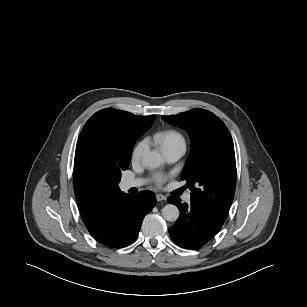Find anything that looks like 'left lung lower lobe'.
<instances>
[{"label":"left lung lower lobe","mask_w":307,"mask_h":307,"mask_svg":"<svg viewBox=\"0 0 307 307\" xmlns=\"http://www.w3.org/2000/svg\"><path fill=\"white\" fill-rule=\"evenodd\" d=\"M167 201L180 209L178 220L169 228L171 239L180 247L195 249L203 246L224 223L193 201L181 203L176 196H170Z\"/></svg>","instance_id":"1"}]
</instances>
